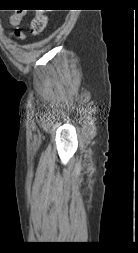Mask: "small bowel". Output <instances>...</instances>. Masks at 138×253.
Wrapping results in <instances>:
<instances>
[{
	"instance_id": "c3829d8e",
	"label": "small bowel",
	"mask_w": 138,
	"mask_h": 253,
	"mask_svg": "<svg viewBox=\"0 0 138 253\" xmlns=\"http://www.w3.org/2000/svg\"><path fill=\"white\" fill-rule=\"evenodd\" d=\"M21 15V13H16L11 17V24L15 27L11 36L19 40H24L26 38V35L20 27Z\"/></svg>"
}]
</instances>
